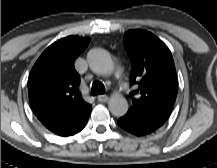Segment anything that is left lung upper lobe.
Returning a JSON list of instances; mask_svg holds the SVG:
<instances>
[{
    "mask_svg": "<svg viewBox=\"0 0 217 168\" xmlns=\"http://www.w3.org/2000/svg\"><path fill=\"white\" fill-rule=\"evenodd\" d=\"M124 38L132 61L130 81L139 85L132 92L138 96L125 116L161 127L172 113L178 91L172 54L164 42L146 30H129Z\"/></svg>",
    "mask_w": 217,
    "mask_h": 168,
    "instance_id": "1",
    "label": "left lung upper lobe"
}]
</instances>
